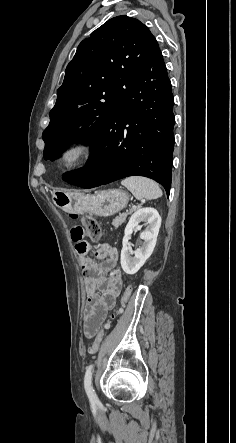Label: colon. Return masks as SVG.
<instances>
[{
  "label": "colon",
  "instance_id": "5ec220e1",
  "mask_svg": "<svg viewBox=\"0 0 236 443\" xmlns=\"http://www.w3.org/2000/svg\"><path fill=\"white\" fill-rule=\"evenodd\" d=\"M72 217H76V215H72ZM82 226H77L71 230L72 238L76 241H78V244L76 248L84 253L86 252L87 246L84 243H81V241H84V237H88L91 240H97L100 237V226L96 219L90 215H84L81 217ZM131 286L127 287V290L122 298V304H124L128 298V295L130 293ZM115 318V314H112L110 318L104 323L102 330L98 333L94 341L92 342L89 353L90 354H96L103 342L105 330H107L110 325L111 321Z\"/></svg>",
  "mask_w": 236,
  "mask_h": 443
}]
</instances>
